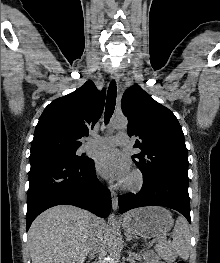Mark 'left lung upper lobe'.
<instances>
[{
	"label": "left lung upper lobe",
	"mask_w": 220,
	"mask_h": 263,
	"mask_svg": "<svg viewBox=\"0 0 220 263\" xmlns=\"http://www.w3.org/2000/svg\"><path fill=\"white\" fill-rule=\"evenodd\" d=\"M122 112L128 118L127 133L137 136L132 156L143 179L166 175L188 183V156L182 128L168 108L155 101L140 86L127 89Z\"/></svg>",
	"instance_id": "1"
}]
</instances>
